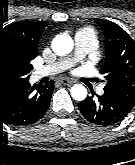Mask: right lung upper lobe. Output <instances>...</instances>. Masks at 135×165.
I'll use <instances>...</instances> for the list:
<instances>
[{"mask_svg": "<svg viewBox=\"0 0 135 165\" xmlns=\"http://www.w3.org/2000/svg\"><path fill=\"white\" fill-rule=\"evenodd\" d=\"M47 26L45 21H21L0 28V77L18 75L27 81L31 60L36 57L38 41Z\"/></svg>", "mask_w": 135, "mask_h": 165, "instance_id": "1", "label": "right lung upper lobe"}]
</instances>
